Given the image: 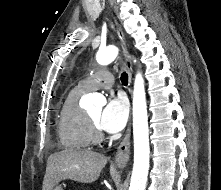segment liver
I'll list each match as a JSON object with an SVG mask.
<instances>
[{"label":"liver","instance_id":"liver-1","mask_svg":"<svg viewBox=\"0 0 221 190\" xmlns=\"http://www.w3.org/2000/svg\"><path fill=\"white\" fill-rule=\"evenodd\" d=\"M107 157L91 150L65 149L47 160L42 190H53L62 180L91 183L98 179Z\"/></svg>","mask_w":221,"mask_h":190}]
</instances>
